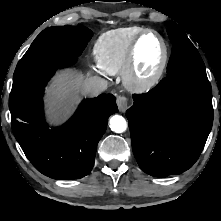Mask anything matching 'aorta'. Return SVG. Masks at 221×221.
<instances>
[{"mask_svg":"<svg viewBox=\"0 0 221 221\" xmlns=\"http://www.w3.org/2000/svg\"><path fill=\"white\" fill-rule=\"evenodd\" d=\"M110 129L116 133H122L127 128V122L124 117L120 115H114L109 120Z\"/></svg>","mask_w":221,"mask_h":221,"instance_id":"aorta-1","label":"aorta"}]
</instances>
